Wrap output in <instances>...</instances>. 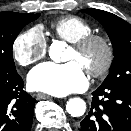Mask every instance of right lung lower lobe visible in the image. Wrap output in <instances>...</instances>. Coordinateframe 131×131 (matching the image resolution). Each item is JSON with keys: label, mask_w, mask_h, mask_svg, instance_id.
Instances as JSON below:
<instances>
[{"label": "right lung lower lobe", "mask_w": 131, "mask_h": 131, "mask_svg": "<svg viewBox=\"0 0 131 131\" xmlns=\"http://www.w3.org/2000/svg\"><path fill=\"white\" fill-rule=\"evenodd\" d=\"M17 72H0V131H29L36 100L23 90Z\"/></svg>", "instance_id": "obj_1"}]
</instances>
